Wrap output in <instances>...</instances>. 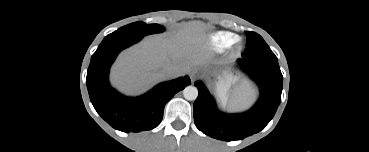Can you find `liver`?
<instances>
[{"mask_svg": "<svg viewBox=\"0 0 369 152\" xmlns=\"http://www.w3.org/2000/svg\"><path fill=\"white\" fill-rule=\"evenodd\" d=\"M205 28L201 22H191L172 35L146 37L120 54L112 68V84L124 93L137 94L169 78L164 72L168 65L179 69L177 76L184 74L190 66L203 61L200 51ZM250 92L245 88L241 94Z\"/></svg>", "mask_w": 369, "mask_h": 152, "instance_id": "liver-1", "label": "liver"}]
</instances>
